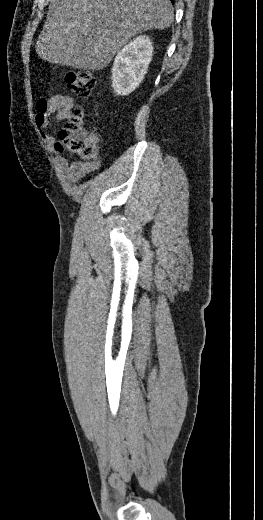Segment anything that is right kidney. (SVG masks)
Listing matches in <instances>:
<instances>
[{
  "mask_svg": "<svg viewBox=\"0 0 263 520\" xmlns=\"http://www.w3.org/2000/svg\"><path fill=\"white\" fill-rule=\"evenodd\" d=\"M152 53V42L145 35L135 38L117 53L111 77L116 95H129L138 87L147 73Z\"/></svg>",
  "mask_w": 263,
  "mask_h": 520,
  "instance_id": "obj_1",
  "label": "right kidney"
}]
</instances>
